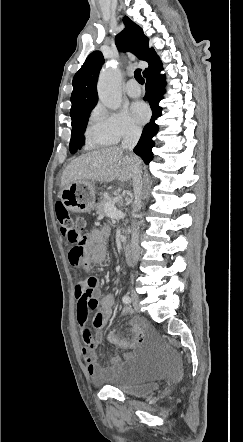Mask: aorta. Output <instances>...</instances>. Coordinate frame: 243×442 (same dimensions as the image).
Returning <instances> with one entry per match:
<instances>
[{
	"label": "aorta",
	"mask_w": 243,
	"mask_h": 442,
	"mask_svg": "<svg viewBox=\"0 0 243 442\" xmlns=\"http://www.w3.org/2000/svg\"><path fill=\"white\" fill-rule=\"evenodd\" d=\"M97 90L100 101L106 107L113 110L120 108L122 94L120 87V72L118 68L106 67L101 70Z\"/></svg>",
	"instance_id": "aorta-1"
}]
</instances>
